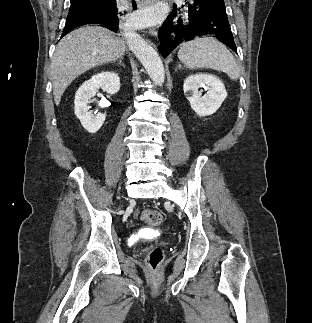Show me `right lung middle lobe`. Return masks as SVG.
<instances>
[{"instance_id": "right-lung-middle-lobe-1", "label": "right lung middle lobe", "mask_w": 312, "mask_h": 323, "mask_svg": "<svg viewBox=\"0 0 312 323\" xmlns=\"http://www.w3.org/2000/svg\"><path fill=\"white\" fill-rule=\"evenodd\" d=\"M93 1L94 0H71V7L70 8L76 7L79 4L91 3Z\"/></svg>"}]
</instances>
